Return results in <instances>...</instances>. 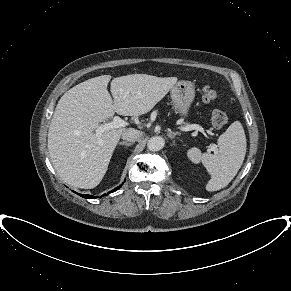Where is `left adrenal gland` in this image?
Returning <instances> with one entry per match:
<instances>
[{
  "label": "left adrenal gland",
  "mask_w": 291,
  "mask_h": 291,
  "mask_svg": "<svg viewBox=\"0 0 291 291\" xmlns=\"http://www.w3.org/2000/svg\"><path fill=\"white\" fill-rule=\"evenodd\" d=\"M167 135L170 139H173V138H175V136L180 135V133L179 132H172L171 130H168Z\"/></svg>",
  "instance_id": "a2214340"
}]
</instances>
